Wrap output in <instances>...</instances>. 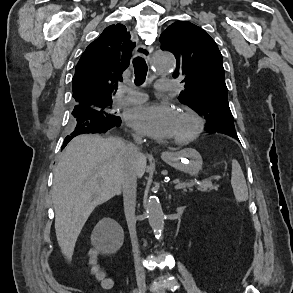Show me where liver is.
<instances>
[{
  "mask_svg": "<svg viewBox=\"0 0 293 293\" xmlns=\"http://www.w3.org/2000/svg\"><path fill=\"white\" fill-rule=\"evenodd\" d=\"M127 147L119 138L79 135L65 148L55 170L51 194L56 237L67 258L72 257L77 238L92 211L120 194ZM146 162L142 154L134 159L138 178L144 175Z\"/></svg>",
  "mask_w": 293,
  "mask_h": 293,
  "instance_id": "1",
  "label": "liver"
}]
</instances>
